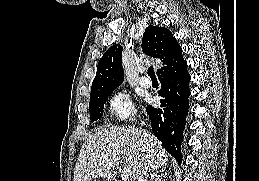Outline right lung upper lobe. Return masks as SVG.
I'll use <instances>...</instances> for the list:
<instances>
[{"mask_svg":"<svg viewBox=\"0 0 259 181\" xmlns=\"http://www.w3.org/2000/svg\"><path fill=\"white\" fill-rule=\"evenodd\" d=\"M142 48L148 56L160 58L163 65L182 51L169 29L153 25H149L145 30ZM121 55L122 46L120 45H114L104 53L98 62L90 98L113 91L123 82Z\"/></svg>","mask_w":259,"mask_h":181,"instance_id":"cb5924a9","label":"right lung upper lobe"}]
</instances>
